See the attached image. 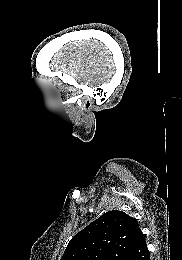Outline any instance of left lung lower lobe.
Returning a JSON list of instances; mask_svg holds the SVG:
<instances>
[{"instance_id":"0a47b994","label":"left lung lower lobe","mask_w":182,"mask_h":260,"mask_svg":"<svg viewBox=\"0 0 182 260\" xmlns=\"http://www.w3.org/2000/svg\"><path fill=\"white\" fill-rule=\"evenodd\" d=\"M122 260H150L145 237L141 231L131 243Z\"/></svg>"}]
</instances>
